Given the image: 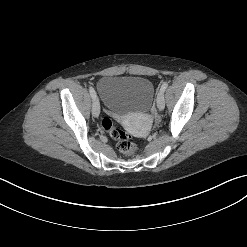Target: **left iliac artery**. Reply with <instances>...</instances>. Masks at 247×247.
I'll list each match as a JSON object with an SVG mask.
<instances>
[{"label": "left iliac artery", "mask_w": 247, "mask_h": 247, "mask_svg": "<svg viewBox=\"0 0 247 247\" xmlns=\"http://www.w3.org/2000/svg\"><path fill=\"white\" fill-rule=\"evenodd\" d=\"M168 87V82H164L163 84H162V86H161V91H165L166 90V88Z\"/></svg>", "instance_id": "44dca946"}]
</instances>
